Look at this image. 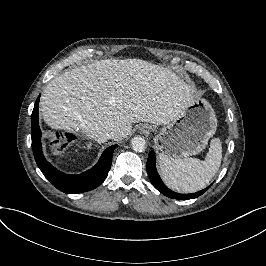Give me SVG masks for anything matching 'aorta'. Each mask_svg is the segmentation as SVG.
Segmentation results:
<instances>
[{
    "label": "aorta",
    "mask_w": 266,
    "mask_h": 266,
    "mask_svg": "<svg viewBox=\"0 0 266 266\" xmlns=\"http://www.w3.org/2000/svg\"><path fill=\"white\" fill-rule=\"evenodd\" d=\"M131 147L135 152H144L147 146L146 140L143 137L135 136L131 142Z\"/></svg>",
    "instance_id": "obj_1"
}]
</instances>
